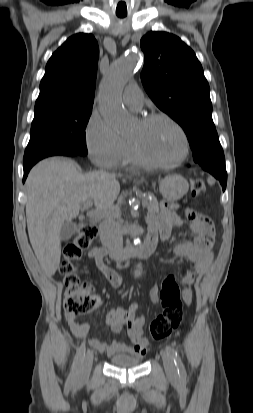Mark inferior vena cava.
<instances>
[{
    "label": "inferior vena cava",
    "mask_w": 253,
    "mask_h": 413,
    "mask_svg": "<svg viewBox=\"0 0 253 413\" xmlns=\"http://www.w3.org/2000/svg\"><path fill=\"white\" fill-rule=\"evenodd\" d=\"M100 238L113 251L119 252L123 248L122 235L109 220H105L100 224Z\"/></svg>",
    "instance_id": "inferior-vena-cava-1"
}]
</instances>
